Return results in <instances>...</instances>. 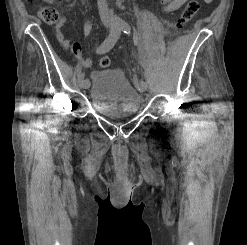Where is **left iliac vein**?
<instances>
[{"instance_id": "obj_1", "label": "left iliac vein", "mask_w": 247, "mask_h": 245, "mask_svg": "<svg viewBox=\"0 0 247 245\" xmlns=\"http://www.w3.org/2000/svg\"><path fill=\"white\" fill-rule=\"evenodd\" d=\"M137 87H138V89H139L141 92H144V91H146V89H147V86H143V85H141V84H137Z\"/></svg>"}]
</instances>
